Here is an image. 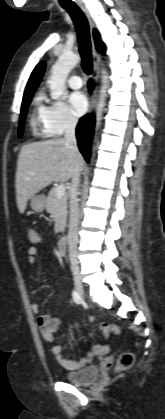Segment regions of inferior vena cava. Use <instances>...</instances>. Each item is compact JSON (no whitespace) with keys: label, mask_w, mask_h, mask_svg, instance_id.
<instances>
[{"label":"inferior vena cava","mask_w":165,"mask_h":419,"mask_svg":"<svg viewBox=\"0 0 165 419\" xmlns=\"http://www.w3.org/2000/svg\"><path fill=\"white\" fill-rule=\"evenodd\" d=\"M77 119L69 116L65 127V141L68 148L71 150L74 157L78 156L79 150L75 137V128ZM81 168L76 165L72 174V182L70 185V217H69V231H68V251L69 260L75 277H79V262H78V222H79V206H78V187L80 183Z\"/></svg>","instance_id":"obj_1"}]
</instances>
